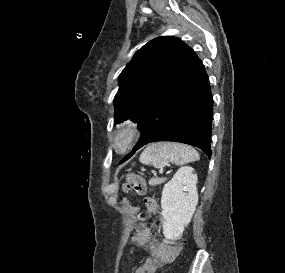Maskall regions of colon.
I'll return each mask as SVG.
<instances>
[{
	"label": "colon",
	"mask_w": 285,
	"mask_h": 273,
	"mask_svg": "<svg viewBox=\"0 0 285 273\" xmlns=\"http://www.w3.org/2000/svg\"><path fill=\"white\" fill-rule=\"evenodd\" d=\"M123 190L127 193H135L138 195H144L146 192V185L144 180L136 175V174H128L125 177V181L123 184ZM139 219H146V214H139ZM142 232H149V224L148 223H139L138 224V233L135 237V240L139 238Z\"/></svg>",
	"instance_id": "1"
}]
</instances>
